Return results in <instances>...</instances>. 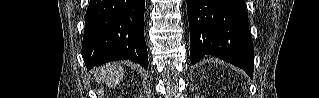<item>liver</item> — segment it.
<instances>
[{
  "instance_id": "liver-1",
  "label": "liver",
  "mask_w": 319,
  "mask_h": 98,
  "mask_svg": "<svg viewBox=\"0 0 319 98\" xmlns=\"http://www.w3.org/2000/svg\"><path fill=\"white\" fill-rule=\"evenodd\" d=\"M124 77V70L121 64H107L99 67L95 72L98 84H106L108 87H115Z\"/></svg>"
}]
</instances>
